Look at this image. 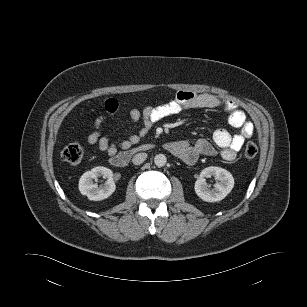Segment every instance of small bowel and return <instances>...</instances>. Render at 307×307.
<instances>
[{"instance_id": "small-bowel-1", "label": "small bowel", "mask_w": 307, "mask_h": 307, "mask_svg": "<svg viewBox=\"0 0 307 307\" xmlns=\"http://www.w3.org/2000/svg\"><path fill=\"white\" fill-rule=\"evenodd\" d=\"M102 108L104 113L95 118L93 131L87 136V143L97 146L110 158L117 155L118 149L127 150L137 144L156 123L188 109L221 108L228 114V124L237 129L238 133L232 135L226 127H220L214 131L211 141L199 139L194 143L186 140L167 143L166 149L186 164H194L200 157L212 156L218 151L223 159L232 162L236 159L245 140L250 138L254 131L253 124L247 120L245 113L233 101L207 93L179 91L174 99L167 103L146 106L142 110L131 109L128 114L129 121L141 122L138 132L114 142L107 135L102 134V125L107 117L117 112L118 101L114 98L106 99L102 103Z\"/></svg>"}]
</instances>
